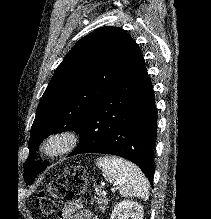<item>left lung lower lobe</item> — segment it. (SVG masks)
I'll return each mask as SVG.
<instances>
[{
  "mask_svg": "<svg viewBox=\"0 0 211 219\" xmlns=\"http://www.w3.org/2000/svg\"><path fill=\"white\" fill-rule=\"evenodd\" d=\"M156 127L154 91L140 54L86 115L77 130L79 145L69 156L123 157L139 166L153 185ZM46 164L41 163L43 168Z\"/></svg>",
  "mask_w": 211,
  "mask_h": 219,
  "instance_id": "0a47b994",
  "label": "left lung lower lobe"
}]
</instances>
